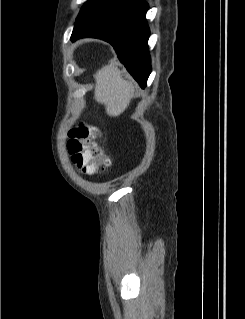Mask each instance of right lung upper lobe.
Wrapping results in <instances>:
<instances>
[{
  "mask_svg": "<svg viewBox=\"0 0 245 319\" xmlns=\"http://www.w3.org/2000/svg\"><path fill=\"white\" fill-rule=\"evenodd\" d=\"M83 20H84V15L82 13H79L73 32L80 31V30L87 28V27L83 26V24H82Z\"/></svg>",
  "mask_w": 245,
  "mask_h": 319,
  "instance_id": "obj_1",
  "label": "right lung upper lobe"
}]
</instances>
